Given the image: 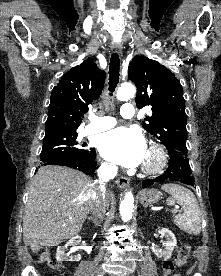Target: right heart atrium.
<instances>
[{
	"instance_id": "obj_1",
	"label": "right heart atrium",
	"mask_w": 221,
	"mask_h": 276,
	"mask_svg": "<svg viewBox=\"0 0 221 276\" xmlns=\"http://www.w3.org/2000/svg\"><path fill=\"white\" fill-rule=\"evenodd\" d=\"M102 168H103L104 170L108 171V172H112V171H113V167L110 166V165H108V164H106V163H103V164H102Z\"/></svg>"
}]
</instances>
